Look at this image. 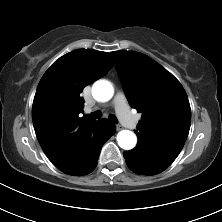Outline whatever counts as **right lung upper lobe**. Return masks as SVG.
<instances>
[{
  "mask_svg": "<svg viewBox=\"0 0 222 222\" xmlns=\"http://www.w3.org/2000/svg\"><path fill=\"white\" fill-rule=\"evenodd\" d=\"M109 53L78 49L56 60L41 78L32 107L37 139L61 171L76 167L86 152V140L95 120L80 117L84 87L112 67Z\"/></svg>",
  "mask_w": 222,
  "mask_h": 222,
  "instance_id": "right-lung-upper-lobe-1",
  "label": "right lung upper lobe"
}]
</instances>
